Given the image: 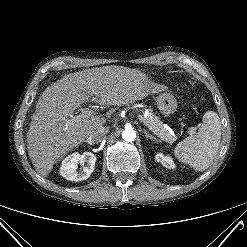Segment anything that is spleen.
I'll return each instance as SVG.
<instances>
[{"mask_svg":"<svg viewBox=\"0 0 247 247\" xmlns=\"http://www.w3.org/2000/svg\"><path fill=\"white\" fill-rule=\"evenodd\" d=\"M220 139V118L216 112L207 111L198 132L178 143L174 155L194 170L204 171L212 164L218 152Z\"/></svg>","mask_w":247,"mask_h":247,"instance_id":"obj_1","label":"spleen"}]
</instances>
